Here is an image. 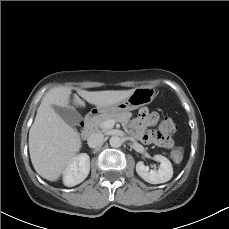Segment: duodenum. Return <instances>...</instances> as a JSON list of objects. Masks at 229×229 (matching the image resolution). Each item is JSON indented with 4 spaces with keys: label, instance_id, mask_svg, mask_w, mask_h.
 Here are the masks:
<instances>
[{
    "label": "duodenum",
    "instance_id": "duodenum-1",
    "mask_svg": "<svg viewBox=\"0 0 229 229\" xmlns=\"http://www.w3.org/2000/svg\"><path fill=\"white\" fill-rule=\"evenodd\" d=\"M99 118V114L91 112L84 119V127L81 134L83 140H86L95 132V123Z\"/></svg>",
    "mask_w": 229,
    "mask_h": 229
}]
</instances>
